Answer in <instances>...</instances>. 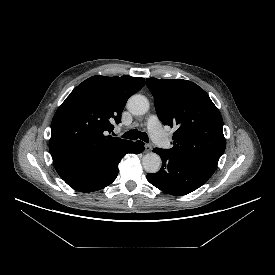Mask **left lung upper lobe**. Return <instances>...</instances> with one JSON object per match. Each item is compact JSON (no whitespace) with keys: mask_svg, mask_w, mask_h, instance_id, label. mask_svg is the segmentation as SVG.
I'll use <instances>...</instances> for the list:
<instances>
[{"mask_svg":"<svg viewBox=\"0 0 275 275\" xmlns=\"http://www.w3.org/2000/svg\"><path fill=\"white\" fill-rule=\"evenodd\" d=\"M161 122L176 126L172 154L212 176L225 151L222 116L208 94L183 79L147 78Z\"/></svg>","mask_w":275,"mask_h":275,"instance_id":"1","label":"left lung upper lobe"}]
</instances>
